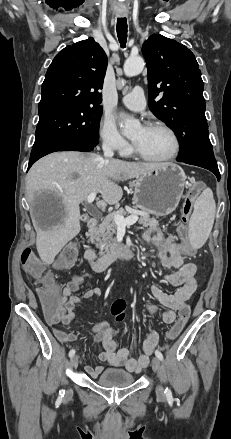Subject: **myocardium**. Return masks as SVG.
I'll return each instance as SVG.
<instances>
[{"mask_svg":"<svg viewBox=\"0 0 231 439\" xmlns=\"http://www.w3.org/2000/svg\"><path fill=\"white\" fill-rule=\"evenodd\" d=\"M146 128L148 129H161L163 131H165L169 137L171 138L172 141V149L170 151V153H168L165 156L162 157H150L147 156L145 154H143L142 152H140L137 147H134V153L142 160L148 161V162H154V163H163V162H168L173 160L174 158L177 157V155L180 152V148H181V144H180V140L177 136V134L175 133V131L168 126L165 123H161V122H154L149 124Z\"/></svg>","mask_w":231,"mask_h":439,"instance_id":"myocardium-1","label":"myocardium"}]
</instances>
